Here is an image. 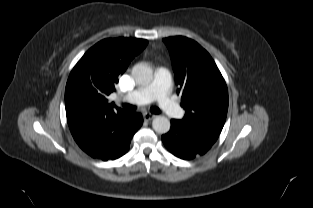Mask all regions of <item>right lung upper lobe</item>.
Wrapping results in <instances>:
<instances>
[{"mask_svg": "<svg viewBox=\"0 0 313 208\" xmlns=\"http://www.w3.org/2000/svg\"><path fill=\"white\" fill-rule=\"evenodd\" d=\"M148 44L137 38L104 39L91 47L71 71L65 89L66 116L125 111L109 103L118 78Z\"/></svg>", "mask_w": 313, "mask_h": 208, "instance_id": "right-lung-upper-lobe-1", "label": "right lung upper lobe"}]
</instances>
